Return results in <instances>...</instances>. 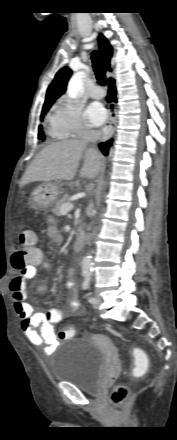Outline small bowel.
Returning a JSON list of instances; mask_svg holds the SVG:
<instances>
[{
	"mask_svg": "<svg viewBox=\"0 0 177 440\" xmlns=\"http://www.w3.org/2000/svg\"><path fill=\"white\" fill-rule=\"evenodd\" d=\"M47 236L55 245L63 243V236L58 231L53 220H50V226L47 229ZM38 258L28 267L17 271L9 281V290L15 305V310L21 320V330L25 337L34 346L43 347L46 354L51 353L58 344L54 325L61 322L64 314L60 309L49 308L43 312H34L32 305L28 302L25 291L26 281L35 277L37 268L42 267L43 273H47L49 266L43 263L42 253L38 250ZM75 270L73 268L68 271V280L66 288L70 292H76L77 286L73 279ZM47 286L43 285L39 288L40 292H44ZM68 305L72 314H79L84 311L81 303L77 299L68 301Z\"/></svg>",
	"mask_w": 177,
	"mask_h": 440,
	"instance_id": "c3829d8e",
	"label": "small bowel"
}]
</instances>
